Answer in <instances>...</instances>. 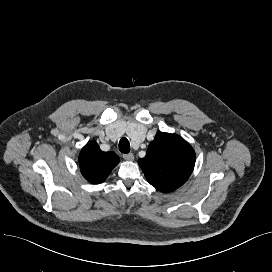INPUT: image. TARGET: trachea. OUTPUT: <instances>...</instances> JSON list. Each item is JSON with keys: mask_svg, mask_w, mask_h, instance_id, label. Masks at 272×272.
Returning <instances> with one entry per match:
<instances>
[{"mask_svg": "<svg viewBox=\"0 0 272 272\" xmlns=\"http://www.w3.org/2000/svg\"><path fill=\"white\" fill-rule=\"evenodd\" d=\"M119 150L121 153L127 154L130 152V144L127 138H121L119 142Z\"/></svg>", "mask_w": 272, "mask_h": 272, "instance_id": "3493384b", "label": "trachea"}]
</instances>
